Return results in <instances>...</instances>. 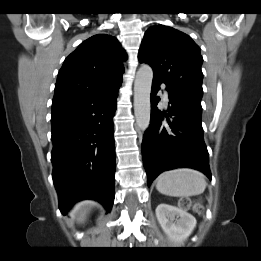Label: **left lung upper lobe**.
Segmentation results:
<instances>
[{"instance_id":"1","label":"left lung upper lobe","mask_w":261,"mask_h":261,"mask_svg":"<svg viewBox=\"0 0 261 261\" xmlns=\"http://www.w3.org/2000/svg\"><path fill=\"white\" fill-rule=\"evenodd\" d=\"M138 59L152 67L153 79L202 99L203 58L189 35L164 25L152 26L145 32Z\"/></svg>"}]
</instances>
